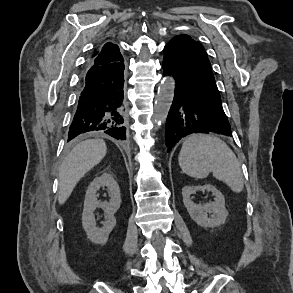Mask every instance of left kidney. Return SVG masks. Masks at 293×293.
Instances as JSON below:
<instances>
[{"label":"left kidney","instance_id":"obj_1","mask_svg":"<svg viewBox=\"0 0 293 293\" xmlns=\"http://www.w3.org/2000/svg\"><path fill=\"white\" fill-rule=\"evenodd\" d=\"M212 192L214 201L205 204H195L191 200V195L197 191ZM183 203L186 207L191 219L199 226L204 228H214L225 223L228 211L225 208V198L222 193L210 184L198 186H184L182 188ZM208 214H211L209 217Z\"/></svg>","mask_w":293,"mask_h":293}]
</instances>
